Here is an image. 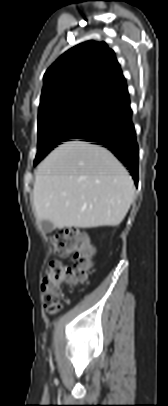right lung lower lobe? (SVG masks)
I'll list each match as a JSON object with an SVG mask.
<instances>
[{
	"mask_svg": "<svg viewBox=\"0 0 168 406\" xmlns=\"http://www.w3.org/2000/svg\"><path fill=\"white\" fill-rule=\"evenodd\" d=\"M108 108L109 118L79 139L110 150L127 167L137 185L139 149L128 91L109 101Z\"/></svg>",
	"mask_w": 168,
	"mask_h": 406,
	"instance_id": "right-lung-lower-lobe-1",
	"label": "right lung lower lobe"
}]
</instances>
